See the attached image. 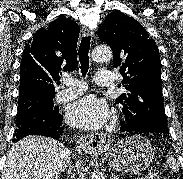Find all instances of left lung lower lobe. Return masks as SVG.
I'll return each mask as SVG.
<instances>
[{
  "instance_id": "left-lung-lower-lobe-1",
  "label": "left lung lower lobe",
  "mask_w": 183,
  "mask_h": 179,
  "mask_svg": "<svg viewBox=\"0 0 183 179\" xmlns=\"http://www.w3.org/2000/svg\"><path fill=\"white\" fill-rule=\"evenodd\" d=\"M121 131L124 132L123 134H121L122 138L132 136L135 134H153V135L163 137L165 139L169 138L168 134L151 133V132L141 130V129H134V128L130 127L127 123L122 124Z\"/></svg>"
}]
</instances>
